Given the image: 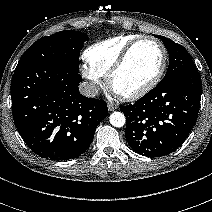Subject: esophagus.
I'll return each instance as SVG.
<instances>
[{
  "instance_id": "esophagus-1",
  "label": "esophagus",
  "mask_w": 212,
  "mask_h": 212,
  "mask_svg": "<svg viewBox=\"0 0 212 212\" xmlns=\"http://www.w3.org/2000/svg\"><path fill=\"white\" fill-rule=\"evenodd\" d=\"M108 110L109 111H114L117 107H116V105H114V104H111V103H108Z\"/></svg>"
}]
</instances>
